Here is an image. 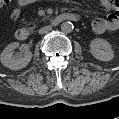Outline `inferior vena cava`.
<instances>
[{
	"instance_id": "obj_1",
	"label": "inferior vena cava",
	"mask_w": 119,
	"mask_h": 119,
	"mask_svg": "<svg viewBox=\"0 0 119 119\" xmlns=\"http://www.w3.org/2000/svg\"><path fill=\"white\" fill-rule=\"evenodd\" d=\"M51 29H52V27H51L50 25H49V26L42 27V28L39 29V34L47 33V32H49Z\"/></svg>"
}]
</instances>
